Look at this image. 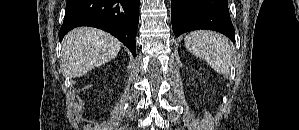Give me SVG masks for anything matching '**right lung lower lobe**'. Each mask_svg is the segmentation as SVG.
Here are the masks:
<instances>
[{
    "label": "right lung lower lobe",
    "mask_w": 299,
    "mask_h": 130,
    "mask_svg": "<svg viewBox=\"0 0 299 130\" xmlns=\"http://www.w3.org/2000/svg\"><path fill=\"white\" fill-rule=\"evenodd\" d=\"M139 2L140 0H68L59 40L73 28L96 27L114 35L135 57Z\"/></svg>",
    "instance_id": "right-lung-lower-lobe-1"
}]
</instances>
